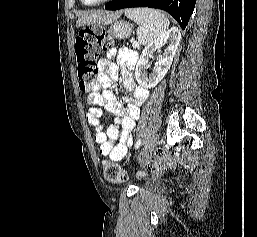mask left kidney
<instances>
[{
	"label": "left kidney",
	"instance_id": "left-kidney-1",
	"mask_svg": "<svg viewBox=\"0 0 257 237\" xmlns=\"http://www.w3.org/2000/svg\"><path fill=\"white\" fill-rule=\"evenodd\" d=\"M180 39L181 34L179 29L173 27L144 48L135 69V77L140 86L150 89L155 87L163 79L172 64ZM165 44H167V47L164 53L159 56L153 71L147 74L145 69L150 63L149 58L151 54L156 51L160 52Z\"/></svg>",
	"mask_w": 257,
	"mask_h": 237
}]
</instances>
